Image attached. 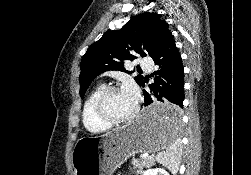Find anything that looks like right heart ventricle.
<instances>
[{"label": "right heart ventricle", "mask_w": 251, "mask_h": 175, "mask_svg": "<svg viewBox=\"0 0 251 175\" xmlns=\"http://www.w3.org/2000/svg\"><path fill=\"white\" fill-rule=\"evenodd\" d=\"M104 84L96 85L86 97L82 108V122L85 129L92 134H100L110 129L95 113L94 104L98 94L105 88Z\"/></svg>", "instance_id": "obj_1"}]
</instances>
